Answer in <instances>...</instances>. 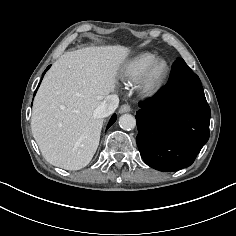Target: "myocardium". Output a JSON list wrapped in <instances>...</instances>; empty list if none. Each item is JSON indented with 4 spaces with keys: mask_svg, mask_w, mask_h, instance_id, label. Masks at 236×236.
Masks as SVG:
<instances>
[{
    "mask_svg": "<svg viewBox=\"0 0 236 236\" xmlns=\"http://www.w3.org/2000/svg\"><path fill=\"white\" fill-rule=\"evenodd\" d=\"M162 70L158 76V69ZM170 76V65L165 59L155 60L140 77L137 83L139 94L145 98H154L161 93Z\"/></svg>",
    "mask_w": 236,
    "mask_h": 236,
    "instance_id": "myocardium-1",
    "label": "myocardium"
}]
</instances>
